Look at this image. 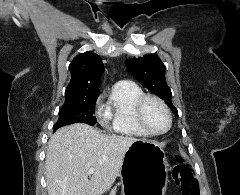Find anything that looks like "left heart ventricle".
I'll return each instance as SVG.
<instances>
[{"label":"left heart ventricle","instance_id":"left-heart-ventricle-1","mask_svg":"<svg viewBox=\"0 0 240 195\" xmlns=\"http://www.w3.org/2000/svg\"><path fill=\"white\" fill-rule=\"evenodd\" d=\"M145 118L151 128L162 131L167 125V118L162 108L155 102L147 103L145 107Z\"/></svg>","mask_w":240,"mask_h":195}]
</instances>
